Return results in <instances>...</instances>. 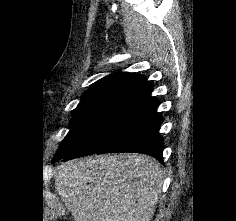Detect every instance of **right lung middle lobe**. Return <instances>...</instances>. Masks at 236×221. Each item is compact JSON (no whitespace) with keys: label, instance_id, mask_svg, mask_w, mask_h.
<instances>
[{"label":"right lung middle lobe","instance_id":"right-lung-middle-lobe-1","mask_svg":"<svg viewBox=\"0 0 236 221\" xmlns=\"http://www.w3.org/2000/svg\"><path fill=\"white\" fill-rule=\"evenodd\" d=\"M134 96L135 94L123 92L83 96L73 114L70 131L59 146L53 161L63 158L75 149Z\"/></svg>","mask_w":236,"mask_h":221}]
</instances>
